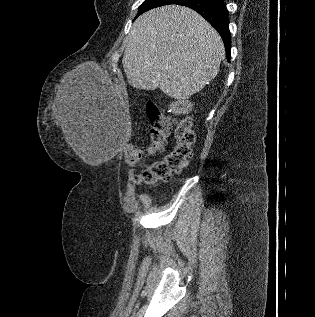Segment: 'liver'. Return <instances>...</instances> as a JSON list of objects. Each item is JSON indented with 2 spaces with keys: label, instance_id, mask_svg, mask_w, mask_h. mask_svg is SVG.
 <instances>
[{
  "label": "liver",
  "instance_id": "6515ba94",
  "mask_svg": "<svg viewBox=\"0 0 315 317\" xmlns=\"http://www.w3.org/2000/svg\"><path fill=\"white\" fill-rule=\"evenodd\" d=\"M225 48L217 31L198 13L179 5L150 10L136 19L122 64L137 89L160 88L176 100L201 91L219 71ZM56 122L67 143L84 158V127L78 102L68 87L57 95Z\"/></svg>",
  "mask_w": 315,
  "mask_h": 317
}]
</instances>
